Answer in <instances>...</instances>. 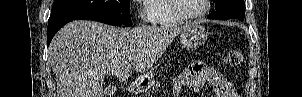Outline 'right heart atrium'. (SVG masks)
Masks as SVG:
<instances>
[{
  "mask_svg": "<svg viewBox=\"0 0 302 97\" xmlns=\"http://www.w3.org/2000/svg\"><path fill=\"white\" fill-rule=\"evenodd\" d=\"M138 18L145 22V21H148L149 20V17L148 15L146 14L145 10L144 9H139L138 10Z\"/></svg>",
  "mask_w": 302,
  "mask_h": 97,
  "instance_id": "d8ad5b80",
  "label": "right heart atrium"
}]
</instances>
